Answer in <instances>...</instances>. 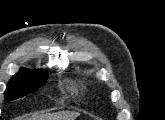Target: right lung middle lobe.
<instances>
[{
  "mask_svg": "<svg viewBox=\"0 0 165 120\" xmlns=\"http://www.w3.org/2000/svg\"><path fill=\"white\" fill-rule=\"evenodd\" d=\"M47 76L48 74L44 70L32 71L22 68L7 84L4 93L5 99L12 101L33 93L45 83Z\"/></svg>",
  "mask_w": 165,
  "mask_h": 120,
  "instance_id": "right-lung-middle-lobe-1",
  "label": "right lung middle lobe"
}]
</instances>
